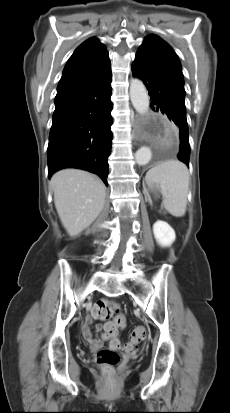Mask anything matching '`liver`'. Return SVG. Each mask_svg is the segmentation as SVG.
Returning <instances> with one entry per match:
<instances>
[{"label":"liver","mask_w":230,"mask_h":413,"mask_svg":"<svg viewBox=\"0 0 230 413\" xmlns=\"http://www.w3.org/2000/svg\"><path fill=\"white\" fill-rule=\"evenodd\" d=\"M50 184L57 213L70 236L89 227L104 207L106 187L89 172L64 169L52 176Z\"/></svg>","instance_id":"6515ba94"}]
</instances>
